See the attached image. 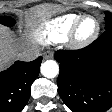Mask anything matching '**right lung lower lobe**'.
Masks as SVG:
<instances>
[{"label": "right lung lower lobe", "instance_id": "right-lung-lower-lobe-1", "mask_svg": "<svg viewBox=\"0 0 112 112\" xmlns=\"http://www.w3.org/2000/svg\"><path fill=\"white\" fill-rule=\"evenodd\" d=\"M42 57L16 61L0 72V112H21L29 100L31 85L39 74Z\"/></svg>", "mask_w": 112, "mask_h": 112}]
</instances>
